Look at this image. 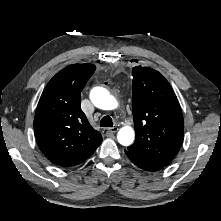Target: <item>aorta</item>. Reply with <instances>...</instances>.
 I'll return each mask as SVG.
<instances>
[{
  "mask_svg": "<svg viewBox=\"0 0 221 221\" xmlns=\"http://www.w3.org/2000/svg\"><path fill=\"white\" fill-rule=\"evenodd\" d=\"M92 103L102 110H114L117 108L118 103L114 96L108 90L102 87H95L90 93ZM135 132L132 127H122L117 134L118 142L123 146H129L133 143Z\"/></svg>",
  "mask_w": 221,
  "mask_h": 221,
  "instance_id": "obj_1",
  "label": "aorta"
}]
</instances>
